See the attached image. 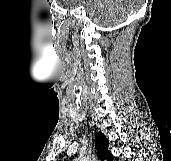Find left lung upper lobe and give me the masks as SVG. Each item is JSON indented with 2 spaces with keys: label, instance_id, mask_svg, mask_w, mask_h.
<instances>
[{
  "label": "left lung upper lobe",
  "instance_id": "5c2ea615",
  "mask_svg": "<svg viewBox=\"0 0 171 161\" xmlns=\"http://www.w3.org/2000/svg\"><path fill=\"white\" fill-rule=\"evenodd\" d=\"M95 146L98 157L101 160L107 159V161H113V155L108 150L109 141L102 132H99L95 135Z\"/></svg>",
  "mask_w": 171,
  "mask_h": 161
}]
</instances>
